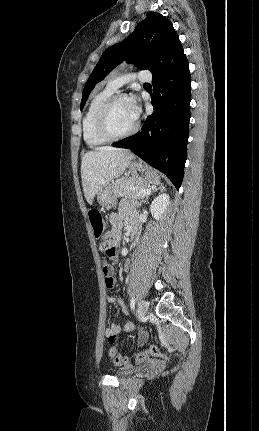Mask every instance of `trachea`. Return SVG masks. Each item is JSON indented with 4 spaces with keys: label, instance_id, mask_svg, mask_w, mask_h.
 <instances>
[{
    "label": "trachea",
    "instance_id": "3493384b",
    "mask_svg": "<svg viewBox=\"0 0 259 431\" xmlns=\"http://www.w3.org/2000/svg\"><path fill=\"white\" fill-rule=\"evenodd\" d=\"M144 85H150L149 83H145Z\"/></svg>",
    "mask_w": 259,
    "mask_h": 431
}]
</instances>
